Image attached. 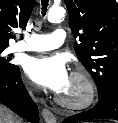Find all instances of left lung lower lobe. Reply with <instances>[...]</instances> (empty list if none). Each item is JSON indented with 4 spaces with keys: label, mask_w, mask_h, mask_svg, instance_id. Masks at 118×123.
<instances>
[{
    "label": "left lung lower lobe",
    "mask_w": 118,
    "mask_h": 123,
    "mask_svg": "<svg viewBox=\"0 0 118 123\" xmlns=\"http://www.w3.org/2000/svg\"><path fill=\"white\" fill-rule=\"evenodd\" d=\"M93 119L118 120V84L113 85L108 92L99 97V102L95 107L70 116L63 123H77Z\"/></svg>",
    "instance_id": "0a47b994"
}]
</instances>
